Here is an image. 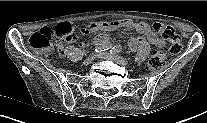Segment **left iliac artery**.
I'll use <instances>...</instances> for the list:
<instances>
[{
  "mask_svg": "<svg viewBox=\"0 0 207 123\" xmlns=\"http://www.w3.org/2000/svg\"><path fill=\"white\" fill-rule=\"evenodd\" d=\"M111 53H114V54H118L122 51V47L120 45H114L112 48H111Z\"/></svg>",
  "mask_w": 207,
  "mask_h": 123,
  "instance_id": "obj_1",
  "label": "left iliac artery"
}]
</instances>
